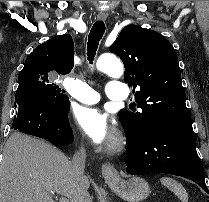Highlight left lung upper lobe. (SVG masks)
Masks as SVG:
<instances>
[{
	"mask_svg": "<svg viewBox=\"0 0 209 202\" xmlns=\"http://www.w3.org/2000/svg\"><path fill=\"white\" fill-rule=\"evenodd\" d=\"M109 50L124 63V81L134 89L140 87L134 93L140 112L134 105L132 111L123 109L118 113L126 134L146 136L161 119L191 121L177 54L164 36L129 25L123 28Z\"/></svg>",
	"mask_w": 209,
	"mask_h": 202,
	"instance_id": "5c2ea615",
	"label": "left lung upper lobe"
}]
</instances>
